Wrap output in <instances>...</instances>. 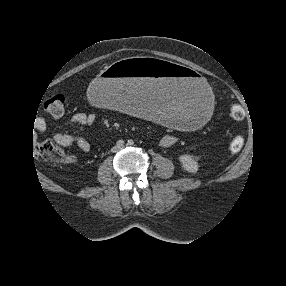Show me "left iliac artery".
<instances>
[{
    "mask_svg": "<svg viewBox=\"0 0 286 286\" xmlns=\"http://www.w3.org/2000/svg\"><path fill=\"white\" fill-rule=\"evenodd\" d=\"M134 144L133 140H128V145L132 146Z\"/></svg>",
    "mask_w": 286,
    "mask_h": 286,
    "instance_id": "1",
    "label": "left iliac artery"
}]
</instances>
